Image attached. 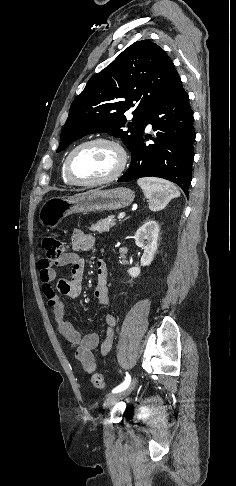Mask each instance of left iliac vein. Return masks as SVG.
I'll return each mask as SVG.
<instances>
[{
	"label": "left iliac vein",
	"mask_w": 236,
	"mask_h": 486,
	"mask_svg": "<svg viewBox=\"0 0 236 486\" xmlns=\"http://www.w3.org/2000/svg\"><path fill=\"white\" fill-rule=\"evenodd\" d=\"M135 385H136V379H134L126 389L109 395L104 401V407L109 408L115 405L122 398L128 396L133 391Z\"/></svg>",
	"instance_id": "1"
}]
</instances>
